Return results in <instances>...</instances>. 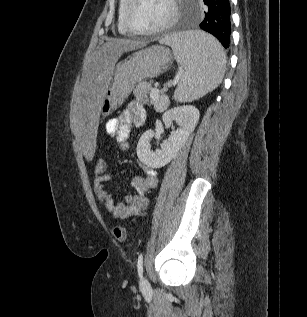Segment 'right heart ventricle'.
Masks as SVG:
<instances>
[{
	"label": "right heart ventricle",
	"instance_id": "obj_1",
	"mask_svg": "<svg viewBox=\"0 0 307 317\" xmlns=\"http://www.w3.org/2000/svg\"><path fill=\"white\" fill-rule=\"evenodd\" d=\"M126 4H127V0H119L118 15H117V29H118V32L122 35L130 34L125 28L124 22H123V13H124Z\"/></svg>",
	"mask_w": 307,
	"mask_h": 317
}]
</instances>
